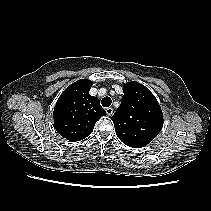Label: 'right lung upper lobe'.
Instances as JSON below:
<instances>
[{
	"instance_id": "right-lung-upper-lobe-1",
	"label": "right lung upper lobe",
	"mask_w": 211,
	"mask_h": 211,
	"mask_svg": "<svg viewBox=\"0 0 211 211\" xmlns=\"http://www.w3.org/2000/svg\"><path fill=\"white\" fill-rule=\"evenodd\" d=\"M92 84L87 79L74 82L55 105L54 128L69 141L76 142L89 136L95 123L106 115L99 99L89 94Z\"/></svg>"
}]
</instances>
